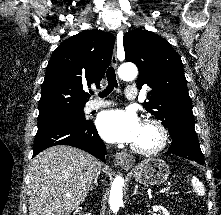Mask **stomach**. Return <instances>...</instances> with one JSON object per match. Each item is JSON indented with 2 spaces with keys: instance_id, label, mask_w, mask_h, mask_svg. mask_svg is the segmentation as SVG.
<instances>
[{
  "instance_id": "1",
  "label": "stomach",
  "mask_w": 221,
  "mask_h": 215,
  "mask_svg": "<svg viewBox=\"0 0 221 215\" xmlns=\"http://www.w3.org/2000/svg\"><path fill=\"white\" fill-rule=\"evenodd\" d=\"M133 176L144 186L160 185L169 176V166L161 159H148L133 169Z\"/></svg>"
}]
</instances>
